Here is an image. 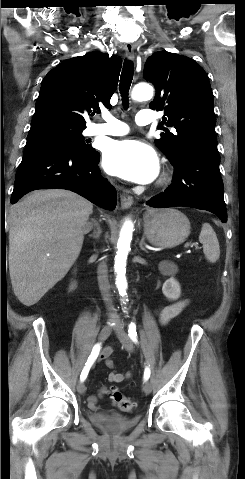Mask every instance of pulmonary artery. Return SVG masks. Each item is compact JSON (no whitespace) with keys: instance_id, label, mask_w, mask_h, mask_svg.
I'll use <instances>...</instances> for the list:
<instances>
[{"instance_id":"1","label":"pulmonary artery","mask_w":245,"mask_h":479,"mask_svg":"<svg viewBox=\"0 0 245 479\" xmlns=\"http://www.w3.org/2000/svg\"><path fill=\"white\" fill-rule=\"evenodd\" d=\"M103 119L105 121L104 123L95 124L90 128L89 132L91 135L120 136L129 131V127L126 123L116 119L110 114L104 115ZM135 121L138 125H149L155 121V117L151 110L144 109L137 113Z\"/></svg>"}]
</instances>
